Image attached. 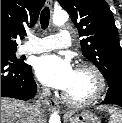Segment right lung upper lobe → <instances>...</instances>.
<instances>
[{
    "mask_svg": "<svg viewBox=\"0 0 122 123\" xmlns=\"http://www.w3.org/2000/svg\"><path fill=\"white\" fill-rule=\"evenodd\" d=\"M45 0H1V49H16L17 36L37 22Z\"/></svg>",
    "mask_w": 122,
    "mask_h": 123,
    "instance_id": "obj_1",
    "label": "right lung upper lobe"
}]
</instances>
